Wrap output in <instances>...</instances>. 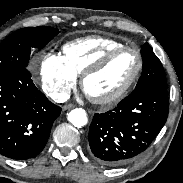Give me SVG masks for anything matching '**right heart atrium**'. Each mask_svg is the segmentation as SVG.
Wrapping results in <instances>:
<instances>
[{"instance_id":"1","label":"right heart atrium","mask_w":183,"mask_h":183,"mask_svg":"<svg viewBox=\"0 0 183 183\" xmlns=\"http://www.w3.org/2000/svg\"><path fill=\"white\" fill-rule=\"evenodd\" d=\"M35 60L44 92L55 101H64L75 87L77 75L60 54L42 52Z\"/></svg>"}]
</instances>
